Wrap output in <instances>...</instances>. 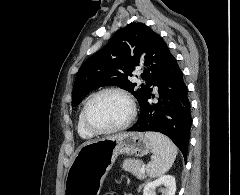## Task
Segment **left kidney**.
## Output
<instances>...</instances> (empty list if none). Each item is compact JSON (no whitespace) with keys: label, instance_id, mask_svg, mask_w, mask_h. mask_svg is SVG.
<instances>
[{"label":"left kidney","instance_id":"1","mask_svg":"<svg viewBox=\"0 0 240 195\" xmlns=\"http://www.w3.org/2000/svg\"><path fill=\"white\" fill-rule=\"evenodd\" d=\"M164 185V187H162ZM159 187L162 195H175L176 181L173 175H161L154 181H148L143 189V195H156L155 189Z\"/></svg>","mask_w":240,"mask_h":195}]
</instances>
